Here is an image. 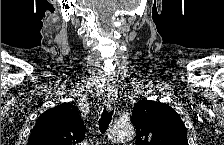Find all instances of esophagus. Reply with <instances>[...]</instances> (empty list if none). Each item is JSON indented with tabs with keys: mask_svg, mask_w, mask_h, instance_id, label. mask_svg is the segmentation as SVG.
Segmentation results:
<instances>
[{
	"mask_svg": "<svg viewBox=\"0 0 224 145\" xmlns=\"http://www.w3.org/2000/svg\"><path fill=\"white\" fill-rule=\"evenodd\" d=\"M115 99H116L115 90H113V89L109 90L108 95H107V103H106V107L108 110L112 109V105H113Z\"/></svg>",
	"mask_w": 224,
	"mask_h": 145,
	"instance_id": "obj_1",
	"label": "esophagus"
}]
</instances>
